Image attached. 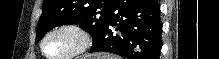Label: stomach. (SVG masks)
I'll return each instance as SVG.
<instances>
[{"label": "stomach", "instance_id": "1", "mask_svg": "<svg viewBox=\"0 0 219 59\" xmlns=\"http://www.w3.org/2000/svg\"><path fill=\"white\" fill-rule=\"evenodd\" d=\"M96 57H98V59H111L110 56L107 55H103V56L97 55Z\"/></svg>", "mask_w": 219, "mask_h": 59}]
</instances>
